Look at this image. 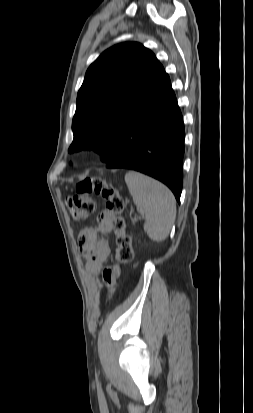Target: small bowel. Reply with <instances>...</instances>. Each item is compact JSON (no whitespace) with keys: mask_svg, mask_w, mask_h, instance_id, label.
<instances>
[{"mask_svg":"<svg viewBox=\"0 0 253 413\" xmlns=\"http://www.w3.org/2000/svg\"><path fill=\"white\" fill-rule=\"evenodd\" d=\"M114 228V214L108 209L102 210L97 217L95 226L84 227L78 236L80 251L86 258L87 271L108 284V297L113 299L117 293L115 286L119 269L116 266L104 268L105 261L111 253L109 241L103 237L112 232Z\"/></svg>","mask_w":253,"mask_h":413,"instance_id":"obj_1","label":"small bowel"}]
</instances>
